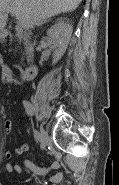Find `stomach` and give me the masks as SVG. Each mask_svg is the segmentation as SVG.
I'll list each match as a JSON object with an SVG mask.
<instances>
[{
	"label": "stomach",
	"instance_id": "0dacf381",
	"mask_svg": "<svg viewBox=\"0 0 119 185\" xmlns=\"http://www.w3.org/2000/svg\"><path fill=\"white\" fill-rule=\"evenodd\" d=\"M6 36H7V33L3 29H1L0 30V41L4 40Z\"/></svg>",
	"mask_w": 119,
	"mask_h": 185
}]
</instances>
